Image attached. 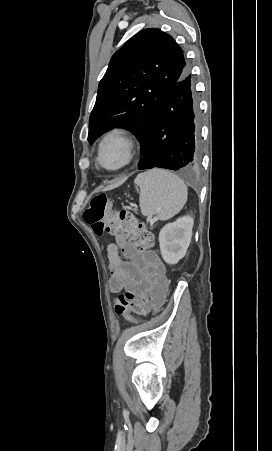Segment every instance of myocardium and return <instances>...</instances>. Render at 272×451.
Masks as SVG:
<instances>
[{
	"label": "myocardium",
	"instance_id": "1",
	"mask_svg": "<svg viewBox=\"0 0 272 451\" xmlns=\"http://www.w3.org/2000/svg\"><path fill=\"white\" fill-rule=\"evenodd\" d=\"M110 144H116L120 146L125 153V160L123 164L116 169H109L111 171L117 172L128 166L132 160V143L120 130H112L108 132L101 140L96 154V163L99 167H104L101 163V154L106 146Z\"/></svg>",
	"mask_w": 272,
	"mask_h": 451
}]
</instances>
